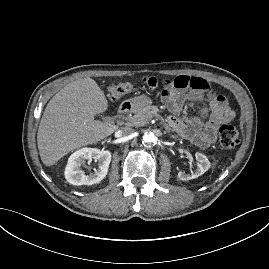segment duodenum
Here are the masks:
<instances>
[{
	"label": "duodenum",
	"instance_id": "obj_1",
	"mask_svg": "<svg viewBox=\"0 0 269 269\" xmlns=\"http://www.w3.org/2000/svg\"><path fill=\"white\" fill-rule=\"evenodd\" d=\"M134 107H135L134 102L131 101L123 102L118 109V115L123 116L125 114H128L134 109Z\"/></svg>",
	"mask_w": 269,
	"mask_h": 269
}]
</instances>
